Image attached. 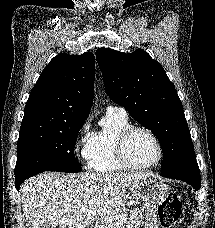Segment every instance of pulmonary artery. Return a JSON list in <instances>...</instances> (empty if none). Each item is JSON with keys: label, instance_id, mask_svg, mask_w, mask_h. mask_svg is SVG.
<instances>
[{"label": "pulmonary artery", "instance_id": "e3ab8cb5", "mask_svg": "<svg viewBox=\"0 0 215 228\" xmlns=\"http://www.w3.org/2000/svg\"><path fill=\"white\" fill-rule=\"evenodd\" d=\"M112 110H118V111H121V112H125L126 113L125 109L122 108V107L108 105L107 106V111H112Z\"/></svg>", "mask_w": 215, "mask_h": 228}]
</instances>
